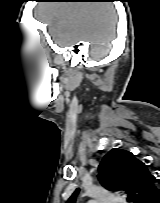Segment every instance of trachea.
I'll return each mask as SVG.
<instances>
[{
    "label": "trachea",
    "instance_id": "trachea-1",
    "mask_svg": "<svg viewBox=\"0 0 160 203\" xmlns=\"http://www.w3.org/2000/svg\"><path fill=\"white\" fill-rule=\"evenodd\" d=\"M127 200H128V202H130V201H131V197L129 196V197L127 198Z\"/></svg>",
    "mask_w": 160,
    "mask_h": 203
}]
</instances>
